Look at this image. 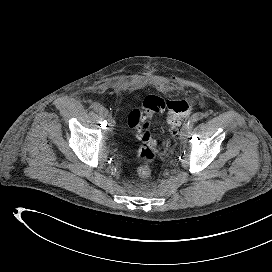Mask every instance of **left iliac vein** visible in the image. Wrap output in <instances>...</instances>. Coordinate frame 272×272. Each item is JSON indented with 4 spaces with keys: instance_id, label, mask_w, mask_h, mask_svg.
<instances>
[{
    "instance_id": "obj_1",
    "label": "left iliac vein",
    "mask_w": 272,
    "mask_h": 272,
    "mask_svg": "<svg viewBox=\"0 0 272 272\" xmlns=\"http://www.w3.org/2000/svg\"><path fill=\"white\" fill-rule=\"evenodd\" d=\"M191 128H192V126H188L187 124H185L182 127L181 132H180V136H179L181 143L185 142V139L188 136V134L190 133Z\"/></svg>"
}]
</instances>
